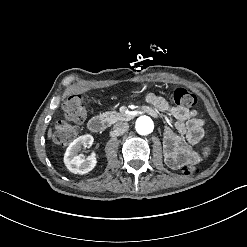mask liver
<instances>
[{
	"instance_id": "obj_1",
	"label": "liver",
	"mask_w": 247,
	"mask_h": 247,
	"mask_svg": "<svg viewBox=\"0 0 247 247\" xmlns=\"http://www.w3.org/2000/svg\"><path fill=\"white\" fill-rule=\"evenodd\" d=\"M52 138H53V130H52V124H50L47 131V140L50 141Z\"/></svg>"
}]
</instances>
